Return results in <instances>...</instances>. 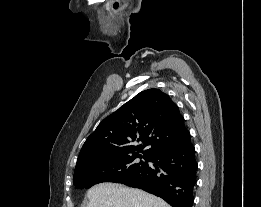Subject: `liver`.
Segmentation results:
<instances>
[{"instance_id": "6515ba94", "label": "liver", "mask_w": 261, "mask_h": 207, "mask_svg": "<svg viewBox=\"0 0 261 207\" xmlns=\"http://www.w3.org/2000/svg\"><path fill=\"white\" fill-rule=\"evenodd\" d=\"M86 207H171L143 190L118 183H100L87 191Z\"/></svg>"}]
</instances>
